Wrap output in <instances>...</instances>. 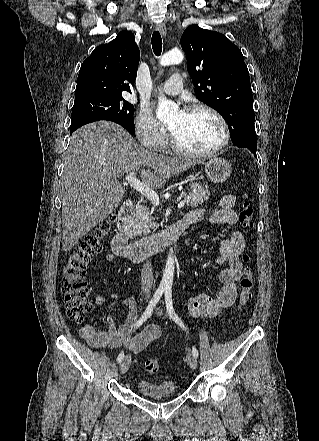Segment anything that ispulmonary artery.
<instances>
[{
    "label": "pulmonary artery",
    "mask_w": 319,
    "mask_h": 441,
    "mask_svg": "<svg viewBox=\"0 0 319 441\" xmlns=\"http://www.w3.org/2000/svg\"><path fill=\"white\" fill-rule=\"evenodd\" d=\"M183 89V80L179 74L172 75L159 90L168 95L179 94Z\"/></svg>",
    "instance_id": "e3ab8cb5"
}]
</instances>
